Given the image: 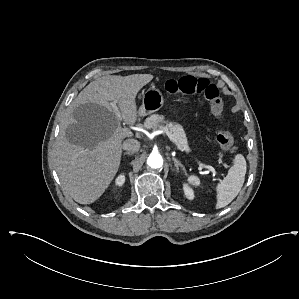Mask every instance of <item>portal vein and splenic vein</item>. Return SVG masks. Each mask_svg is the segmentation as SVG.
I'll return each mask as SVG.
<instances>
[{"label":"portal vein and splenic vein","instance_id":"1","mask_svg":"<svg viewBox=\"0 0 299 299\" xmlns=\"http://www.w3.org/2000/svg\"><path fill=\"white\" fill-rule=\"evenodd\" d=\"M111 106L116 111V114L118 115V117H120V113L118 111L116 103H111ZM160 127L164 131V133L169 137L170 141H172L173 143H175L177 145V142H176L174 136L171 134V132L166 127H162V126H160ZM200 167L201 168H207L211 172L215 173V169L212 166L204 165V164L200 163Z\"/></svg>","mask_w":299,"mask_h":299}]
</instances>
